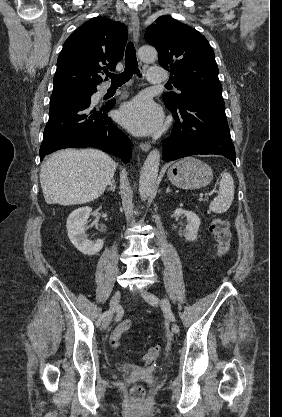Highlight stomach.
I'll use <instances>...</instances> for the list:
<instances>
[{"label":"stomach","mask_w":282,"mask_h":417,"mask_svg":"<svg viewBox=\"0 0 282 417\" xmlns=\"http://www.w3.org/2000/svg\"><path fill=\"white\" fill-rule=\"evenodd\" d=\"M168 178L178 188H201L209 184L213 178V172L203 160L194 156H185L177 162H173L168 168Z\"/></svg>","instance_id":"1"}]
</instances>
